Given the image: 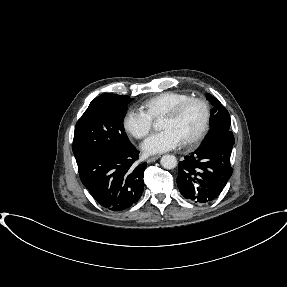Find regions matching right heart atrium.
Returning <instances> with one entry per match:
<instances>
[{
	"mask_svg": "<svg viewBox=\"0 0 287 287\" xmlns=\"http://www.w3.org/2000/svg\"><path fill=\"white\" fill-rule=\"evenodd\" d=\"M123 126L128 134L137 139H142L150 133L153 119L145 111L131 108L123 118Z\"/></svg>",
	"mask_w": 287,
	"mask_h": 287,
	"instance_id": "right-heart-atrium-1",
	"label": "right heart atrium"
}]
</instances>
